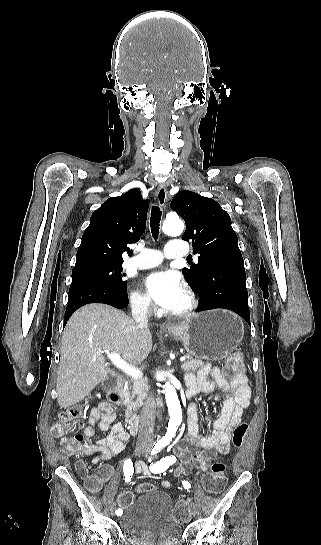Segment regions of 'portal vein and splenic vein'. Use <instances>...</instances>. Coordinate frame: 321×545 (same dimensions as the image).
Segmentation results:
<instances>
[{
  "label": "portal vein and splenic vein",
  "mask_w": 321,
  "mask_h": 545,
  "mask_svg": "<svg viewBox=\"0 0 321 545\" xmlns=\"http://www.w3.org/2000/svg\"><path fill=\"white\" fill-rule=\"evenodd\" d=\"M99 353H106L108 359L112 361L113 365L118 367V369H121V371L126 373V375H129V377H132V379H138V377H141V371L136 369V367H132V365H127V363L121 359L120 355H118V353H109V351H99ZM181 362H185L184 357H181Z\"/></svg>",
  "instance_id": "portal-vein-and-splenic-vein-1"
}]
</instances>
